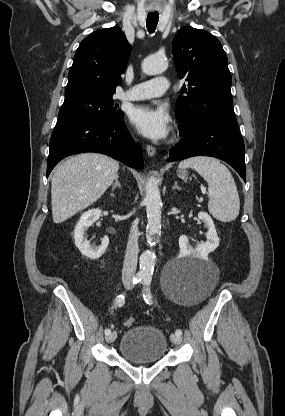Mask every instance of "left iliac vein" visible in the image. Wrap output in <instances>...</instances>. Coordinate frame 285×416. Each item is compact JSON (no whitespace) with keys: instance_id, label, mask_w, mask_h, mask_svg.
<instances>
[{"instance_id":"4c4485c4","label":"left iliac vein","mask_w":285,"mask_h":416,"mask_svg":"<svg viewBox=\"0 0 285 416\" xmlns=\"http://www.w3.org/2000/svg\"><path fill=\"white\" fill-rule=\"evenodd\" d=\"M170 339L175 345H179L181 343V337L177 334H171Z\"/></svg>"}]
</instances>
